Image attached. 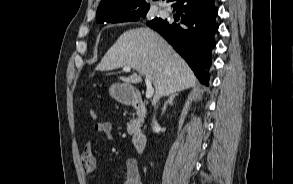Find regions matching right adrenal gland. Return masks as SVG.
Masks as SVG:
<instances>
[{
	"label": "right adrenal gland",
	"instance_id": "1",
	"mask_svg": "<svg viewBox=\"0 0 293 184\" xmlns=\"http://www.w3.org/2000/svg\"><path fill=\"white\" fill-rule=\"evenodd\" d=\"M176 96H178V93L171 94V95L168 97L167 101L164 103V105H163V107H162V109H161V115L164 114V112L166 111V108H167L168 105L171 106V105L174 104V99H175Z\"/></svg>",
	"mask_w": 293,
	"mask_h": 184
}]
</instances>
